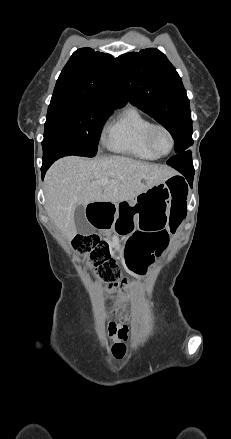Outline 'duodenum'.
Listing matches in <instances>:
<instances>
[{
  "label": "duodenum",
  "instance_id": "1",
  "mask_svg": "<svg viewBox=\"0 0 231 439\" xmlns=\"http://www.w3.org/2000/svg\"><path fill=\"white\" fill-rule=\"evenodd\" d=\"M110 206V202L93 203L91 206L92 212L89 217L90 222L93 223V220H102L107 214Z\"/></svg>",
  "mask_w": 231,
  "mask_h": 439
}]
</instances>
